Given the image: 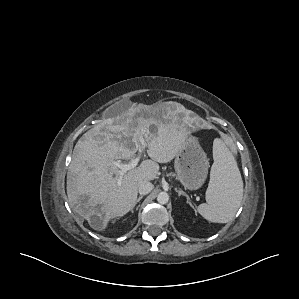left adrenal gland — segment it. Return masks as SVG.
<instances>
[{"mask_svg": "<svg viewBox=\"0 0 299 299\" xmlns=\"http://www.w3.org/2000/svg\"><path fill=\"white\" fill-rule=\"evenodd\" d=\"M179 196H185L187 200H189L188 195L181 189H175Z\"/></svg>", "mask_w": 299, "mask_h": 299, "instance_id": "left-adrenal-gland-1", "label": "left adrenal gland"}]
</instances>
